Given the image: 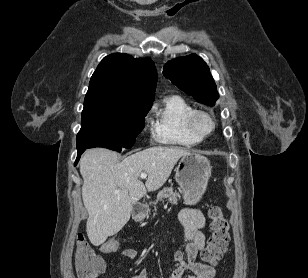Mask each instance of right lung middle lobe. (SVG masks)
Segmentation results:
<instances>
[{
    "label": "right lung middle lobe",
    "instance_id": "1",
    "mask_svg": "<svg viewBox=\"0 0 308 278\" xmlns=\"http://www.w3.org/2000/svg\"><path fill=\"white\" fill-rule=\"evenodd\" d=\"M152 104L136 111L82 117L77 150L105 147L115 151L130 148L144 128V117Z\"/></svg>",
    "mask_w": 308,
    "mask_h": 278
}]
</instances>
